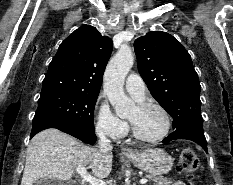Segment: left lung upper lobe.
Wrapping results in <instances>:
<instances>
[{
  "label": "left lung upper lobe",
  "mask_w": 233,
  "mask_h": 185,
  "mask_svg": "<svg viewBox=\"0 0 233 185\" xmlns=\"http://www.w3.org/2000/svg\"><path fill=\"white\" fill-rule=\"evenodd\" d=\"M139 73L152 96L180 129L202 121L200 83L187 50L168 33L149 32L135 40Z\"/></svg>",
  "instance_id": "1"
}]
</instances>
